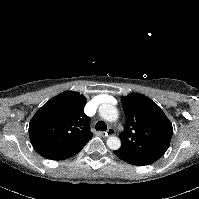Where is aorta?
<instances>
[{
	"instance_id": "obj_1",
	"label": "aorta",
	"mask_w": 199,
	"mask_h": 199,
	"mask_svg": "<svg viewBox=\"0 0 199 199\" xmlns=\"http://www.w3.org/2000/svg\"><path fill=\"white\" fill-rule=\"evenodd\" d=\"M99 114L104 120L109 122H115L119 117L117 108L112 104H102L99 107ZM106 143L112 150H118L121 146V141L116 136H110Z\"/></svg>"
}]
</instances>
